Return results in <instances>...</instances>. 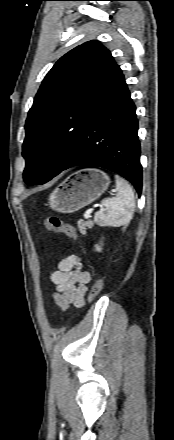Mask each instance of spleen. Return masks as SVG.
I'll return each mask as SVG.
<instances>
[{"instance_id":"spleen-1","label":"spleen","mask_w":174,"mask_h":440,"mask_svg":"<svg viewBox=\"0 0 174 440\" xmlns=\"http://www.w3.org/2000/svg\"><path fill=\"white\" fill-rule=\"evenodd\" d=\"M116 196L106 198L102 201L100 211L95 213L94 221L99 226L122 227L125 229L130 223L134 209V192L129 183L122 177L116 175Z\"/></svg>"}]
</instances>
